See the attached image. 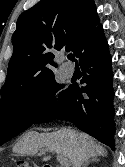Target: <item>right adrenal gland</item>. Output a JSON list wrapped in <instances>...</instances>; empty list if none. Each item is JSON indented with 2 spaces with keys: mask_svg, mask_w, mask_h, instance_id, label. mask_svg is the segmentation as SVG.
I'll return each instance as SVG.
<instances>
[{
  "mask_svg": "<svg viewBox=\"0 0 125 167\" xmlns=\"http://www.w3.org/2000/svg\"><path fill=\"white\" fill-rule=\"evenodd\" d=\"M94 162H98V159L95 157H92L91 159L87 160L82 167H87L89 164L94 163Z\"/></svg>",
  "mask_w": 125,
  "mask_h": 167,
  "instance_id": "obj_1",
  "label": "right adrenal gland"
}]
</instances>
